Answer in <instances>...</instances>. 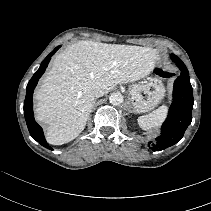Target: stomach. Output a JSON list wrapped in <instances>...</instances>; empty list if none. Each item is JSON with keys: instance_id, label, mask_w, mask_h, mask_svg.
Wrapping results in <instances>:
<instances>
[{"instance_id": "obj_1", "label": "stomach", "mask_w": 211, "mask_h": 211, "mask_svg": "<svg viewBox=\"0 0 211 211\" xmlns=\"http://www.w3.org/2000/svg\"><path fill=\"white\" fill-rule=\"evenodd\" d=\"M158 68H154V72ZM131 108L136 113L153 110L164 98L165 87L157 75L148 77L145 81L133 84L129 88Z\"/></svg>"}]
</instances>
